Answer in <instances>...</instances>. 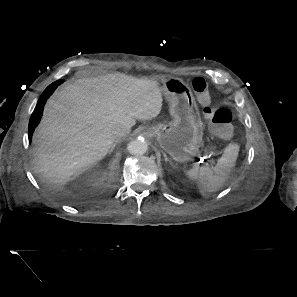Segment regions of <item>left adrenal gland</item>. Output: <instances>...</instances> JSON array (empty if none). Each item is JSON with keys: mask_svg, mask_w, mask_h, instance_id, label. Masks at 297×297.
I'll return each mask as SVG.
<instances>
[{"mask_svg": "<svg viewBox=\"0 0 297 297\" xmlns=\"http://www.w3.org/2000/svg\"><path fill=\"white\" fill-rule=\"evenodd\" d=\"M164 157H165V161H166V162L169 161L166 155H164ZM169 162H170V165H171L173 168H175L174 164H173L171 161H169Z\"/></svg>", "mask_w": 297, "mask_h": 297, "instance_id": "obj_1", "label": "left adrenal gland"}]
</instances>
